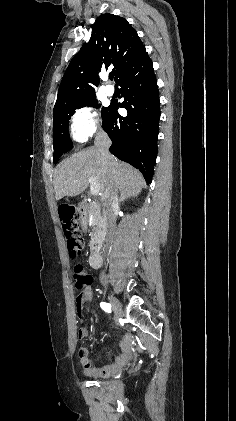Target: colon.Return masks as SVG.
I'll use <instances>...</instances> for the list:
<instances>
[{
	"label": "colon",
	"instance_id": "5ec220e1",
	"mask_svg": "<svg viewBox=\"0 0 236 421\" xmlns=\"http://www.w3.org/2000/svg\"><path fill=\"white\" fill-rule=\"evenodd\" d=\"M62 216L68 251L71 256H76L82 248V236L79 225L70 217L69 209H65ZM72 277L75 288L81 292H84L92 283V276L82 265H76L74 267ZM84 350L83 348L79 349V356L84 355Z\"/></svg>",
	"mask_w": 236,
	"mask_h": 421
}]
</instances>
